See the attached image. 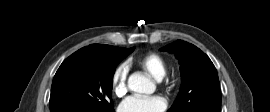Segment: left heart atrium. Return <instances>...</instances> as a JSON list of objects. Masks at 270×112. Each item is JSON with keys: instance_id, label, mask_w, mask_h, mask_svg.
Returning a JSON list of instances; mask_svg holds the SVG:
<instances>
[{"instance_id": "left-heart-atrium-1", "label": "left heart atrium", "mask_w": 270, "mask_h": 112, "mask_svg": "<svg viewBox=\"0 0 270 112\" xmlns=\"http://www.w3.org/2000/svg\"><path fill=\"white\" fill-rule=\"evenodd\" d=\"M166 106V101L160 96H132L120 104L119 112H163Z\"/></svg>"}]
</instances>
